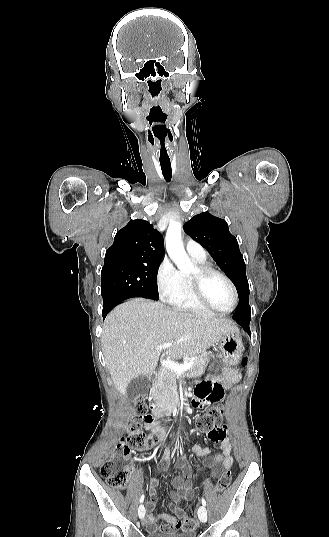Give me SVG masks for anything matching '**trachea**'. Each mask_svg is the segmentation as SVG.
<instances>
[{"mask_svg": "<svg viewBox=\"0 0 329 537\" xmlns=\"http://www.w3.org/2000/svg\"><path fill=\"white\" fill-rule=\"evenodd\" d=\"M161 169H162V173H163L164 179H165L167 182H170V180H171V178H172L171 164H161Z\"/></svg>", "mask_w": 329, "mask_h": 537, "instance_id": "1", "label": "trachea"}]
</instances>
